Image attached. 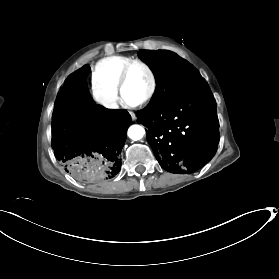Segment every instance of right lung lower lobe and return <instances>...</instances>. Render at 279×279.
<instances>
[{
	"label": "right lung lower lobe",
	"mask_w": 279,
	"mask_h": 279,
	"mask_svg": "<svg viewBox=\"0 0 279 279\" xmlns=\"http://www.w3.org/2000/svg\"><path fill=\"white\" fill-rule=\"evenodd\" d=\"M87 68L68 77L58 93L52 114V148L72 177L100 184L121 169L130 115L95 104L86 87Z\"/></svg>",
	"instance_id": "98d812e1"
}]
</instances>
